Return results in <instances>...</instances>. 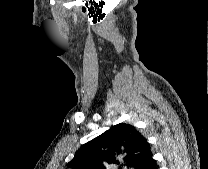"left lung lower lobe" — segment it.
<instances>
[{"mask_svg": "<svg viewBox=\"0 0 208 169\" xmlns=\"http://www.w3.org/2000/svg\"><path fill=\"white\" fill-rule=\"evenodd\" d=\"M139 169H158L155 160L152 158L151 150L145 155Z\"/></svg>", "mask_w": 208, "mask_h": 169, "instance_id": "obj_1", "label": "left lung lower lobe"}]
</instances>
